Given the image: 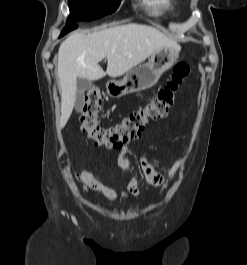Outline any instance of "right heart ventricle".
<instances>
[{"mask_svg": "<svg viewBox=\"0 0 247 265\" xmlns=\"http://www.w3.org/2000/svg\"><path fill=\"white\" fill-rule=\"evenodd\" d=\"M143 1L154 14H160L166 10H169L173 5L172 0H143Z\"/></svg>", "mask_w": 247, "mask_h": 265, "instance_id": "1", "label": "right heart ventricle"}]
</instances>
